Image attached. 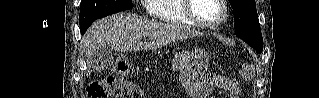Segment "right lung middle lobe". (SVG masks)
<instances>
[{
	"label": "right lung middle lobe",
	"mask_w": 319,
	"mask_h": 98,
	"mask_svg": "<svg viewBox=\"0 0 319 98\" xmlns=\"http://www.w3.org/2000/svg\"><path fill=\"white\" fill-rule=\"evenodd\" d=\"M131 8H133L131 0H82L79 24L81 26L98 18Z\"/></svg>",
	"instance_id": "right-lung-middle-lobe-1"
}]
</instances>
